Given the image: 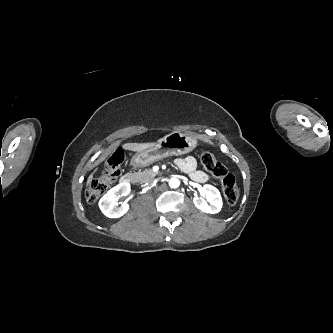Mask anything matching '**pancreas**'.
Wrapping results in <instances>:
<instances>
[{
	"instance_id": "cf45deb5",
	"label": "pancreas",
	"mask_w": 333,
	"mask_h": 333,
	"mask_svg": "<svg viewBox=\"0 0 333 333\" xmlns=\"http://www.w3.org/2000/svg\"><path fill=\"white\" fill-rule=\"evenodd\" d=\"M156 175H157V172H154L152 169H144L142 172H140V171L137 172L135 177H136L137 182L150 183Z\"/></svg>"
}]
</instances>
